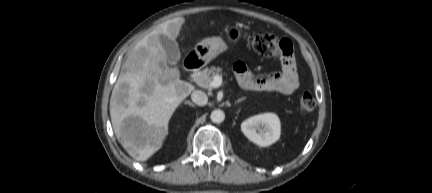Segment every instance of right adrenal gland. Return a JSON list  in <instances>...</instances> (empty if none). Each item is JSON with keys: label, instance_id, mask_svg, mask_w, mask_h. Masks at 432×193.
<instances>
[{"label": "right adrenal gland", "instance_id": "right-adrenal-gland-1", "mask_svg": "<svg viewBox=\"0 0 432 193\" xmlns=\"http://www.w3.org/2000/svg\"><path fill=\"white\" fill-rule=\"evenodd\" d=\"M185 104H188L189 106L194 107V104L191 103L190 101H185Z\"/></svg>", "mask_w": 432, "mask_h": 193}]
</instances>
